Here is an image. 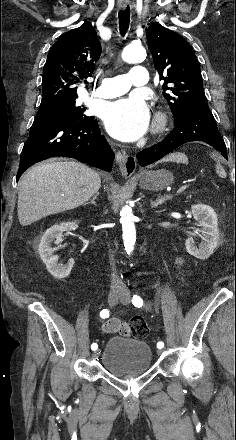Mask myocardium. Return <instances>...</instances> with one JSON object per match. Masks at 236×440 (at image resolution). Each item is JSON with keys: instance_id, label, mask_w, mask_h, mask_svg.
Returning a JSON list of instances; mask_svg holds the SVG:
<instances>
[{"instance_id": "1", "label": "myocardium", "mask_w": 236, "mask_h": 440, "mask_svg": "<svg viewBox=\"0 0 236 440\" xmlns=\"http://www.w3.org/2000/svg\"><path fill=\"white\" fill-rule=\"evenodd\" d=\"M166 123H167V115H166V113H164V112L157 113V115L155 117L153 131L155 133H159V132L163 131V129L166 126Z\"/></svg>"}]
</instances>
